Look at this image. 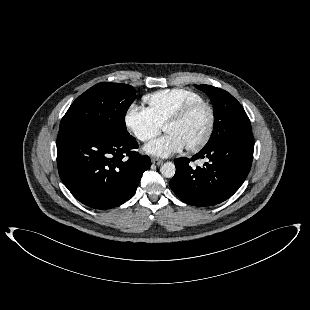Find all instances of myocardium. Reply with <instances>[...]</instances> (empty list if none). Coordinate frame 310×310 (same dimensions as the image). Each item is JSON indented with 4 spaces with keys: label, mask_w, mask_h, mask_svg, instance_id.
Returning a JSON list of instances; mask_svg holds the SVG:
<instances>
[{
    "label": "myocardium",
    "mask_w": 310,
    "mask_h": 310,
    "mask_svg": "<svg viewBox=\"0 0 310 310\" xmlns=\"http://www.w3.org/2000/svg\"><path fill=\"white\" fill-rule=\"evenodd\" d=\"M202 107L206 108L209 114L208 127H207V130L204 136L197 143L185 147V150L189 152H196L202 149L209 142V140L211 139L213 135V132L215 129V123H216V114H215V110L212 104L204 100L190 103L186 105L185 107H183L181 110H179L174 116L168 119L166 123L164 124V129H165L168 125L180 123L184 121L185 119H187L197 109L202 108Z\"/></svg>",
    "instance_id": "obj_1"
}]
</instances>
